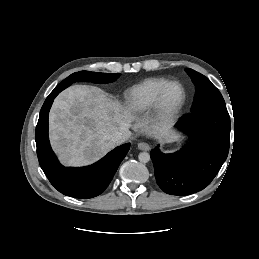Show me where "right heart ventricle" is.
Masks as SVG:
<instances>
[{
    "label": "right heart ventricle",
    "instance_id": "right-heart-ventricle-1",
    "mask_svg": "<svg viewBox=\"0 0 259 259\" xmlns=\"http://www.w3.org/2000/svg\"><path fill=\"white\" fill-rule=\"evenodd\" d=\"M167 82L165 78L155 77L133 86L125 94L128 109L135 114H144L153 110L158 93Z\"/></svg>",
    "mask_w": 259,
    "mask_h": 259
}]
</instances>
